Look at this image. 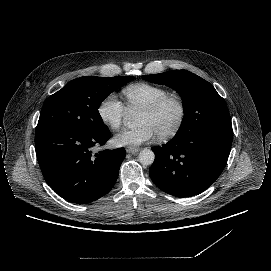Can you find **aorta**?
I'll list each match as a JSON object with an SVG mask.
<instances>
[{"mask_svg": "<svg viewBox=\"0 0 271 271\" xmlns=\"http://www.w3.org/2000/svg\"><path fill=\"white\" fill-rule=\"evenodd\" d=\"M131 120L132 119L126 120V123L129 126L132 125ZM138 158H139V162L142 165L148 166V165H151L154 162L155 154H154V152L152 150L145 148L142 151H140Z\"/></svg>", "mask_w": 271, "mask_h": 271, "instance_id": "aorta-1", "label": "aorta"}]
</instances>
